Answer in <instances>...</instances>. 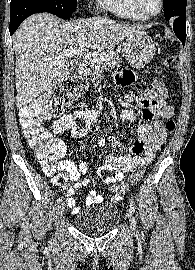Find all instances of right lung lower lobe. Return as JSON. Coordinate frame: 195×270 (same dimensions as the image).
<instances>
[{"mask_svg":"<svg viewBox=\"0 0 195 270\" xmlns=\"http://www.w3.org/2000/svg\"><path fill=\"white\" fill-rule=\"evenodd\" d=\"M48 12L49 8L40 2H34L30 0H13L10 5V35H12L19 25L27 17L34 13Z\"/></svg>","mask_w":195,"mask_h":270,"instance_id":"obj_1","label":"right lung lower lobe"}]
</instances>
